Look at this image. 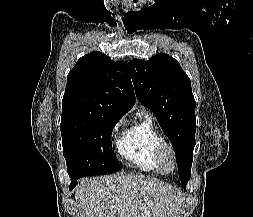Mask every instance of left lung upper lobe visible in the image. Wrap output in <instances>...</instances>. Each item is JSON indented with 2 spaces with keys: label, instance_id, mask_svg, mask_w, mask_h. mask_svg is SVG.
<instances>
[{
  "label": "left lung upper lobe",
  "instance_id": "5c2ea615",
  "mask_svg": "<svg viewBox=\"0 0 253 217\" xmlns=\"http://www.w3.org/2000/svg\"><path fill=\"white\" fill-rule=\"evenodd\" d=\"M128 69L138 100L156 116L175 150L185 187L191 177L195 146V100L190 79L178 61L160 53L148 61L133 59Z\"/></svg>",
  "mask_w": 253,
  "mask_h": 217
}]
</instances>
